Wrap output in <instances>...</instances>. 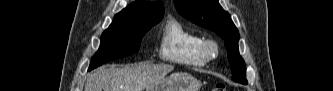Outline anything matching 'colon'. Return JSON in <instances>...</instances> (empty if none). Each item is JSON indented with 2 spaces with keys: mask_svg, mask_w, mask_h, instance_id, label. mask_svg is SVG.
<instances>
[{
  "mask_svg": "<svg viewBox=\"0 0 333 91\" xmlns=\"http://www.w3.org/2000/svg\"><path fill=\"white\" fill-rule=\"evenodd\" d=\"M212 91H226V88L224 84L217 83L213 86Z\"/></svg>",
  "mask_w": 333,
  "mask_h": 91,
  "instance_id": "5ec220e1",
  "label": "colon"
}]
</instances>
